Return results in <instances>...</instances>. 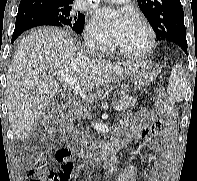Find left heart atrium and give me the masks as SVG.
Returning a JSON list of instances; mask_svg holds the SVG:
<instances>
[{
    "instance_id": "1",
    "label": "left heart atrium",
    "mask_w": 197,
    "mask_h": 181,
    "mask_svg": "<svg viewBox=\"0 0 197 181\" xmlns=\"http://www.w3.org/2000/svg\"><path fill=\"white\" fill-rule=\"evenodd\" d=\"M96 17L98 23L115 39L121 35L130 23L128 16L124 12L113 8L99 10Z\"/></svg>"
}]
</instances>
